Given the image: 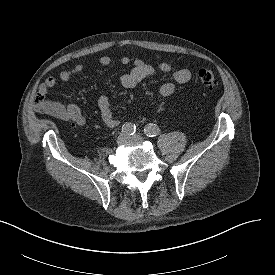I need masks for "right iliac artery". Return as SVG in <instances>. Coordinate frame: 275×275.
Returning <instances> with one entry per match:
<instances>
[{
    "mask_svg": "<svg viewBox=\"0 0 275 275\" xmlns=\"http://www.w3.org/2000/svg\"><path fill=\"white\" fill-rule=\"evenodd\" d=\"M122 132L128 135H133L136 132V126L132 123H126L122 127Z\"/></svg>",
    "mask_w": 275,
    "mask_h": 275,
    "instance_id": "obj_1",
    "label": "right iliac artery"
}]
</instances>
